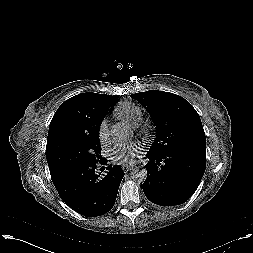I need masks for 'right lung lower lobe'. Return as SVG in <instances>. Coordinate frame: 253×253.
Here are the masks:
<instances>
[{
	"label": "right lung lower lobe",
	"instance_id": "right-lung-lower-lobe-1",
	"mask_svg": "<svg viewBox=\"0 0 253 253\" xmlns=\"http://www.w3.org/2000/svg\"><path fill=\"white\" fill-rule=\"evenodd\" d=\"M99 162L105 164L107 161L101 159ZM107 169L109 172L100 177L96 163L87 164L51 174V179L61 199L70 208L81 215L95 217L113 208L124 177V172L118 165Z\"/></svg>",
	"mask_w": 253,
	"mask_h": 253
}]
</instances>
